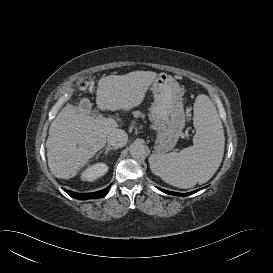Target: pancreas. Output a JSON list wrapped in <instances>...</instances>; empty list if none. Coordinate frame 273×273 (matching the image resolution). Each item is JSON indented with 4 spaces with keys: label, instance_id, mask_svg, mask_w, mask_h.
Returning a JSON list of instances; mask_svg holds the SVG:
<instances>
[{
    "label": "pancreas",
    "instance_id": "cf45deb5",
    "mask_svg": "<svg viewBox=\"0 0 273 273\" xmlns=\"http://www.w3.org/2000/svg\"><path fill=\"white\" fill-rule=\"evenodd\" d=\"M134 117L138 118V117H143L144 118V114L140 111H134L133 112Z\"/></svg>",
    "mask_w": 273,
    "mask_h": 273
}]
</instances>
